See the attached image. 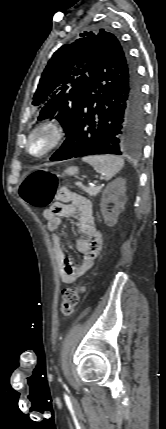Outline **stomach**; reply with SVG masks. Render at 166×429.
<instances>
[{"label": "stomach", "mask_w": 166, "mask_h": 429, "mask_svg": "<svg viewBox=\"0 0 166 429\" xmlns=\"http://www.w3.org/2000/svg\"><path fill=\"white\" fill-rule=\"evenodd\" d=\"M66 173H67L68 175H75V174H77V173H78V168H77V167H75V166L68 167V168L66 169Z\"/></svg>", "instance_id": "obj_1"}]
</instances>
